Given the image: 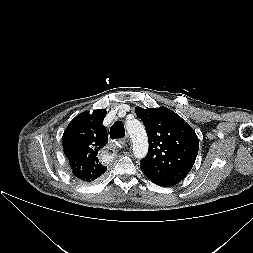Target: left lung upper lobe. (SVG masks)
<instances>
[{
	"instance_id": "5c2ea615",
	"label": "left lung upper lobe",
	"mask_w": 253,
	"mask_h": 253,
	"mask_svg": "<svg viewBox=\"0 0 253 253\" xmlns=\"http://www.w3.org/2000/svg\"><path fill=\"white\" fill-rule=\"evenodd\" d=\"M135 112L145 126L149 141L148 154L140 162L142 172L156 184H177L196 160L199 140L195 131L165 107H136Z\"/></svg>"
}]
</instances>
